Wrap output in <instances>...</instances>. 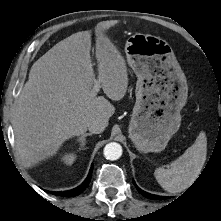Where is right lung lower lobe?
<instances>
[{
	"mask_svg": "<svg viewBox=\"0 0 221 221\" xmlns=\"http://www.w3.org/2000/svg\"><path fill=\"white\" fill-rule=\"evenodd\" d=\"M92 169H93V165L91 166L90 172L88 174V177L85 179V181L78 187L72 189V190H68V191H64V192H50L52 194L58 195V196H63V197H74L77 196L78 194H80L89 184L90 179H91V175H92ZM48 192V191H47Z\"/></svg>",
	"mask_w": 221,
	"mask_h": 221,
	"instance_id": "right-lung-lower-lobe-1",
	"label": "right lung lower lobe"
}]
</instances>
